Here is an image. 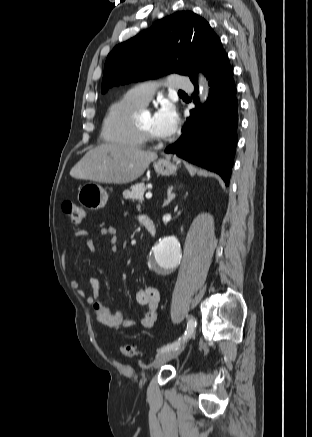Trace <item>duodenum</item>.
Returning <instances> with one entry per match:
<instances>
[{"label": "duodenum", "mask_w": 312, "mask_h": 437, "mask_svg": "<svg viewBox=\"0 0 312 437\" xmlns=\"http://www.w3.org/2000/svg\"><path fill=\"white\" fill-rule=\"evenodd\" d=\"M141 223L149 235L153 236L155 234V224L151 218L144 216Z\"/></svg>", "instance_id": "obj_1"}]
</instances>
